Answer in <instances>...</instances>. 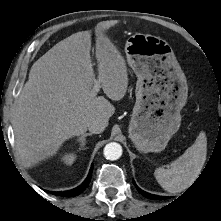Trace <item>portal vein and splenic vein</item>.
I'll list each match as a JSON object with an SVG mask.
<instances>
[{
    "mask_svg": "<svg viewBox=\"0 0 221 221\" xmlns=\"http://www.w3.org/2000/svg\"><path fill=\"white\" fill-rule=\"evenodd\" d=\"M99 90H100V83H99L97 80H95V81H94V86H93V93L95 94V93H97Z\"/></svg>",
    "mask_w": 221,
    "mask_h": 221,
    "instance_id": "portal-vein-and-splenic-vein-1",
    "label": "portal vein and splenic vein"
}]
</instances>
